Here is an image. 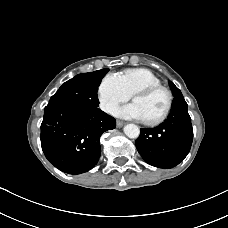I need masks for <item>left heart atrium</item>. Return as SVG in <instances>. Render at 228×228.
<instances>
[{
	"mask_svg": "<svg viewBox=\"0 0 228 228\" xmlns=\"http://www.w3.org/2000/svg\"><path fill=\"white\" fill-rule=\"evenodd\" d=\"M114 115L125 119L143 120L142 114L135 103H131L114 110Z\"/></svg>",
	"mask_w": 228,
	"mask_h": 228,
	"instance_id": "left-heart-atrium-1",
	"label": "left heart atrium"
}]
</instances>
